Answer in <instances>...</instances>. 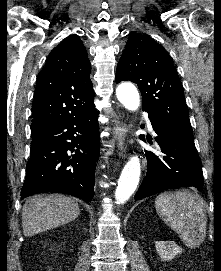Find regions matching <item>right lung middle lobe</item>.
Returning a JSON list of instances; mask_svg holds the SVG:
<instances>
[{
	"label": "right lung middle lobe",
	"mask_w": 221,
	"mask_h": 271,
	"mask_svg": "<svg viewBox=\"0 0 221 271\" xmlns=\"http://www.w3.org/2000/svg\"><path fill=\"white\" fill-rule=\"evenodd\" d=\"M37 132H38V131H32V132H31V135L34 134V133H37Z\"/></svg>",
	"instance_id": "dd1d6c3e"
}]
</instances>
